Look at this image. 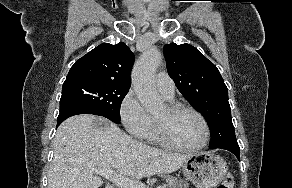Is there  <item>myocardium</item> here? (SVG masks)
Instances as JSON below:
<instances>
[{"instance_id":"myocardium-1","label":"myocardium","mask_w":292,"mask_h":188,"mask_svg":"<svg viewBox=\"0 0 292 188\" xmlns=\"http://www.w3.org/2000/svg\"><path fill=\"white\" fill-rule=\"evenodd\" d=\"M168 111L171 114H176L179 112H191L194 115H196L202 122L203 127H204V138L202 140V142H200L198 145L196 146H184L181 145L179 143H177L169 134L166 126L164 123H162L161 121L155 119V127H156V132L158 135V138L160 140V142H162L164 145L176 149V150H180V151H185V152H195L198 150L203 149L204 147L207 146V144L210 141V137H211V129H210V125L206 119V117L197 109L185 105V104H181V103H173L167 106Z\"/></svg>"}]
</instances>
